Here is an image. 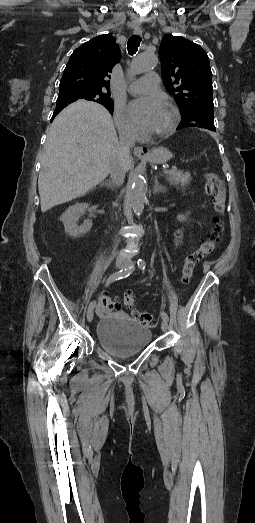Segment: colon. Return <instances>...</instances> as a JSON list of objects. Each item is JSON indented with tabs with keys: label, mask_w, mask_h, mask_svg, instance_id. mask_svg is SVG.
Segmentation results:
<instances>
[{
	"label": "colon",
	"mask_w": 255,
	"mask_h": 523,
	"mask_svg": "<svg viewBox=\"0 0 255 523\" xmlns=\"http://www.w3.org/2000/svg\"><path fill=\"white\" fill-rule=\"evenodd\" d=\"M205 179L206 191L212 198V203L218 216L214 221V229L207 234L206 238L194 251L186 256L181 267V282L183 284H187L191 280L196 265L215 250L224 234L225 227L221 218L225 211L224 185L213 172H208ZM123 304L127 308H133L136 305V299L132 294L126 293L123 297ZM118 306V302L110 296H104L101 299V309L104 312H112ZM132 316L142 325H151L153 322V316L148 312L133 311Z\"/></svg>",
	"instance_id": "5ec220e1"
}]
</instances>
